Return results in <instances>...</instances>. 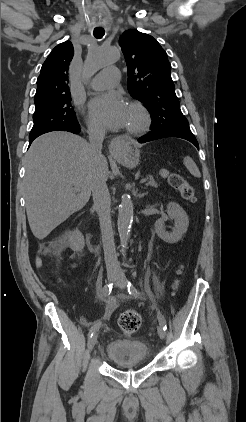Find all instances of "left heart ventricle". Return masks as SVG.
<instances>
[{
	"label": "left heart ventricle",
	"mask_w": 246,
	"mask_h": 422,
	"mask_svg": "<svg viewBox=\"0 0 246 422\" xmlns=\"http://www.w3.org/2000/svg\"><path fill=\"white\" fill-rule=\"evenodd\" d=\"M139 122V116L137 112L130 107H128V114L125 127L135 126Z\"/></svg>",
	"instance_id": "b2bd125f"
}]
</instances>
